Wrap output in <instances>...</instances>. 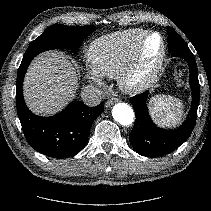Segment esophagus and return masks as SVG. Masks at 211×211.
<instances>
[{
  "label": "esophagus",
  "instance_id": "obj_1",
  "mask_svg": "<svg viewBox=\"0 0 211 211\" xmlns=\"http://www.w3.org/2000/svg\"><path fill=\"white\" fill-rule=\"evenodd\" d=\"M118 101L117 98H111L109 100H107V102L105 103L106 107H110L111 105H113L114 103H116Z\"/></svg>",
  "mask_w": 211,
  "mask_h": 211
}]
</instances>
